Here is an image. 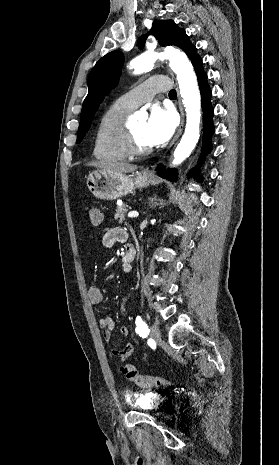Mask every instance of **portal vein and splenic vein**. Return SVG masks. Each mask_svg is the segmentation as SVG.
Listing matches in <instances>:
<instances>
[{"mask_svg":"<svg viewBox=\"0 0 279 465\" xmlns=\"http://www.w3.org/2000/svg\"><path fill=\"white\" fill-rule=\"evenodd\" d=\"M138 215L139 214L136 211H131V212L128 213L129 218H136V217H138Z\"/></svg>","mask_w":279,"mask_h":465,"instance_id":"obj_1","label":"portal vein and splenic vein"}]
</instances>
